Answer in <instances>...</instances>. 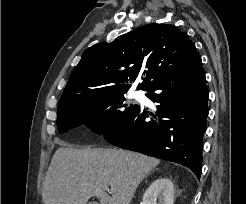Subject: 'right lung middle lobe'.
<instances>
[{
	"label": "right lung middle lobe",
	"instance_id": "obj_1",
	"mask_svg": "<svg viewBox=\"0 0 246 204\" xmlns=\"http://www.w3.org/2000/svg\"><path fill=\"white\" fill-rule=\"evenodd\" d=\"M125 93L75 98L58 104L57 128L64 133L85 125L104 134L121 126L138 105L124 104Z\"/></svg>",
	"mask_w": 246,
	"mask_h": 204
}]
</instances>
